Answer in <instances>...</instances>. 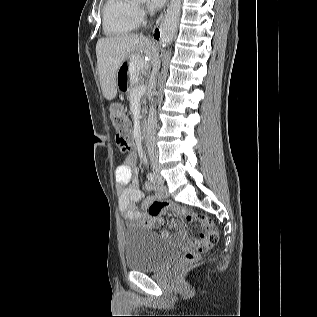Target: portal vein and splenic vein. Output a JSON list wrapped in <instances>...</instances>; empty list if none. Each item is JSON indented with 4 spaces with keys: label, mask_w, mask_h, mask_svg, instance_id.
I'll use <instances>...</instances> for the list:
<instances>
[{
    "label": "portal vein and splenic vein",
    "mask_w": 317,
    "mask_h": 317,
    "mask_svg": "<svg viewBox=\"0 0 317 317\" xmlns=\"http://www.w3.org/2000/svg\"><path fill=\"white\" fill-rule=\"evenodd\" d=\"M145 91H146V86L140 85L134 89L133 96L140 97L145 93Z\"/></svg>",
    "instance_id": "obj_1"
}]
</instances>
